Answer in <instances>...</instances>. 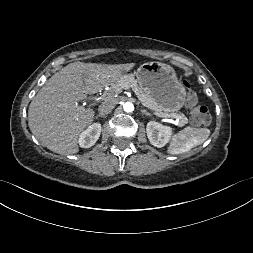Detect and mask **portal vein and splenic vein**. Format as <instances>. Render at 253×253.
Here are the masks:
<instances>
[{
  "label": "portal vein and splenic vein",
  "mask_w": 253,
  "mask_h": 253,
  "mask_svg": "<svg viewBox=\"0 0 253 253\" xmlns=\"http://www.w3.org/2000/svg\"><path fill=\"white\" fill-rule=\"evenodd\" d=\"M121 89H125L128 90L129 86L126 84L121 85ZM110 98V96L108 97H100L98 98V100H108ZM154 115L158 116V117H162V118H166V117H171V118H176V119H180L181 117L177 114H165V113H160V112H153Z\"/></svg>",
  "instance_id": "obj_1"
}]
</instances>
